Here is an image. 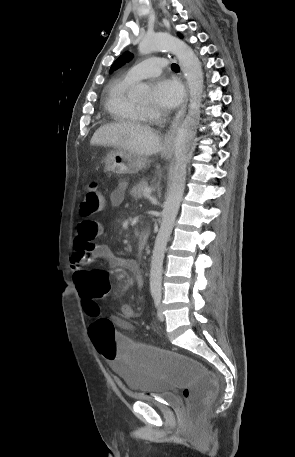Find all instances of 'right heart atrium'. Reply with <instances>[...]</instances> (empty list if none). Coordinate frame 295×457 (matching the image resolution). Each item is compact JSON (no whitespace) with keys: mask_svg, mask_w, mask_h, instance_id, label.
Instances as JSON below:
<instances>
[{"mask_svg":"<svg viewBox=\"0 0 295 457\" xmlns=\"http://www.w3.org/2000/svg\"><path fill=\"white\" fill-rule=\"evenodd\" d=\"M145 113H146L147 118H155V117L159 116V113L151 108H146Z\"/></svg>","mask_w":295,"mask_h":457,"instance_id":"obj_1","label":"right heart atrium"}]
</instances>
